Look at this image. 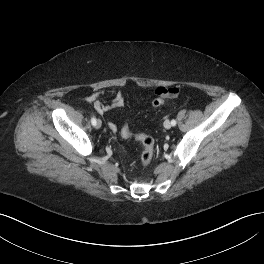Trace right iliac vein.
<instances>
[{
    "label": "right iliac vein",
    "mask_w": 264,
    "mask_h": 264,
    "mask_svg": "<svg viewBox=\"0 0 264 264\" xmlns=\"http://www.w3.org/2000/svg\"><path fill=\"white\" fill-rule=\"evenodd\" d=\"M102 126V122L100 119L96 121V128H100Z\"/></svg>",
    "instance_id": "right-iliac-vein-1"
}]
</instances>
